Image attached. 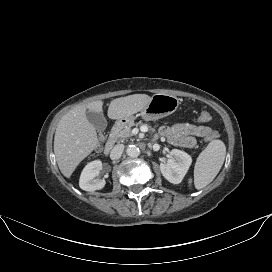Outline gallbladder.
I'll return each mask as SVG.
<instances>
[{
	"label": "gallbladder",
	"instance_id": "bac80fb5",
	"mask_svg": "<svg viewBox=\"0 0 272 272\" xmlns=\"http://www.w3.org/2000/svg\"><path fill=\"white\" fill-rule=\"evenodd\" d=\"M86 117L96 130L103 131L106 129L107 120L102 113L87 110Z\"/></svg>",
	"mask_w": 272,
	"mask_h": 272
}]
</instances>
